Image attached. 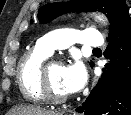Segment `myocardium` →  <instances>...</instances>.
<instances>
[{
  "label": "myocardium",
  "mask_w": 131,
  "mask_h": 115,
  "mask_svg": "<svg viewBox=\"0 0 131 115\" xmlns=\"http://www.w3.org/2000/svg\"><path fill=\"white\" fill-rule=\"evenodd\" d=\"M51 64L61 65V62L50 61V62H46L42 64L40 71H39V89L45 101L53 103V104H61V103L66 102L68 100V97L67 96H56L51 93L49 89L48 81H47V75H46L47 68Z\"/></svg>",
  "instance_id": "1"
}]
</instances>
